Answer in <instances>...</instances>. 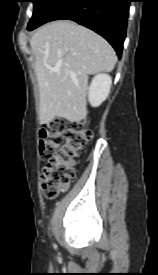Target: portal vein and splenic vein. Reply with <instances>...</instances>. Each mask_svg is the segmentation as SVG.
Listing matches in <instances>:
<instances>
[{
    "label": "portal vein and splenic vein",
    "instance_id": "obj_1",
    "mask_svg": "<svg viewBox=\"0 0 158 275\" xmlns=\"http://www.w3.org/2000/svg\"><path fill=\"white\" fill-rule=\"evenodd\" d=\"M52 71L57 72V71H59V68L58 67H54V68H52Z\"/></svg>",
    "mask_w": 158,
    "mask_h": 275
}]
</instances>
